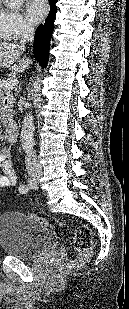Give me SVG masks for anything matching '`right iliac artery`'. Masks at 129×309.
<instances>
[{
    "label": "right iliac artery",
    "instance_id": "obj_1",
    "mask_svg": "<svg viewBox=\"0 0 129 309\" xmlns=\"http://www.w3.org/2000/svg\"><path fill=\"white\" fill-rule=\"evenodd\" d=\"M28 190H29L28 185L23 184V185H20V187H19V192L21 194H26L28 192Z\"/></svg>",
    "mask_w": 129,
    "mask_h": 309
}]
</instances>
